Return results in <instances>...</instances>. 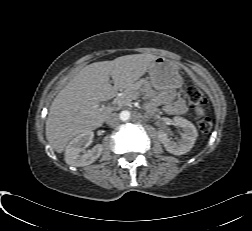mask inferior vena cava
<instances>
[{
	"label": "inferior vena cava",
	"mask_w": 252,
	"mask_h": 231,
	"mask_svg": "<svg viewBox=\"0 0 252 231\" xmlns=\"http://www.w3.org/2000/svg\"><path fill=\"white\" fill-rule=\"evenodd\" d=\"M106 124L111 126V127H115L119 124L120 122V118L118 116L117 113H112L110 114L107 118H106Z\"/></svg>",
	"instance_id": "obj_1"
}]
</instances>
